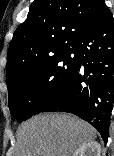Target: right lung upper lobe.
<instances>
[{
    "instance_id": "cb5924a9",
    "label": "right lung upper lobe",
    "mask_w": 114,
    "mask_h": 156,
    "mask_svg": "<svg viewBox=\"0 0 114 156\" xmlns=\"http://www.w3.org/2000/svg\"><path fill=\"white\" fill-rule=\"evenodd\" d=\"M108 7L102 0H35L7 56V86L21 73L75 48Z\"/></svg>"
}]
</instances>
